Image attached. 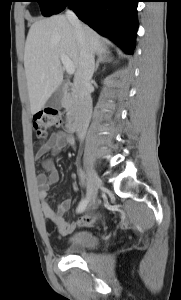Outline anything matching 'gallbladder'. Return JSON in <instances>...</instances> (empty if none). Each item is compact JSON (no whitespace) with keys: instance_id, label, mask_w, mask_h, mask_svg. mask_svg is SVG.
Masks as SVG:
<instances>
[{"instance_id":"1","label":"gallbladder","mask_w":181,"mask_h":300,"mask_svg":"<svg viewBox=\"0 0 181 300\" xmlns=\"http://www.w3.org/2000/svg\"><path fill=\"white\" fill-rule=\"evenodd\" d=\"M64 96L63 84H61L48 98L45 107L52 109H60L62 107V100Z\"/></svg>"}]
</instances>
